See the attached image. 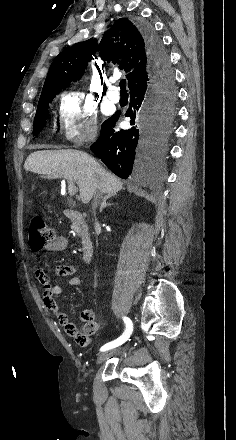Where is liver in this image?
Masks as SVG:
<instances>
[{
	"label": "liver",
	"instance_id": "obj_1",
	"mask_svg": "<svg viewBox=\"0 0 236 440\" xmlns=\"http://www.w3.org/2000/svg\"><path fill=\"white\" fill-rule=\"evenodd\" d=\"M24 168L37 174L74 180L84 204L89 203L96 191L115 195L123 189V183L115 175L82 151H35L27 157Z\"/></svg>",
	"mask_w": 236,
	"mask_h": 440
}]
</instances>
